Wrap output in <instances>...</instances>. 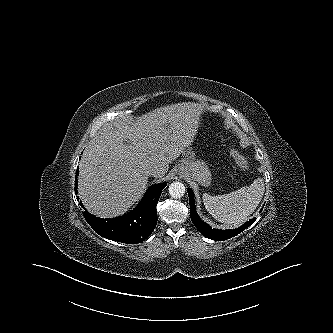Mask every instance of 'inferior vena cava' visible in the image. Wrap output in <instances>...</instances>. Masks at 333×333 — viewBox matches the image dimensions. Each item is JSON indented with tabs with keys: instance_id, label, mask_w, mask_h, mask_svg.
<instances>
[{
	"instance_id": "1",
	"label": "inferior vena cava",
	"mask_w": 333,
	"mask_h": 333,
	"mask_svg": "<svg viewBox=\"0 0 333 333\" xmlns=\"http://www.w3.org/2000/svg\"><path fill=\"white\" fill-rule=\"evenodd\" d=\"M148 174H149V175H152V176H154V177H157V176H159V175L161 174V172H160V170H159L158 168L154 167V168H151V169L148 171Z\"/></svg>"
}]
</instances>
